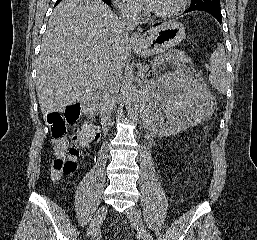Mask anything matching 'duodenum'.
<instances>
[{"label":"duodenum","mask_w":257,"mask_h":240,"mask_svg":"<svg viewBox=\"0 0 257 240\" xmlns=\"http://www.w3.org/2000/svg\"><path fill=\"white\" fill-rule=\"evenodd\" d=\"M97 103V97L94 94L87 95L82 101V110L86 118L87 127L92 134L94 142L100 138V128L94 122V112Z\"/></svg>","instance_id":"duodenum-1"}]
</instances>
